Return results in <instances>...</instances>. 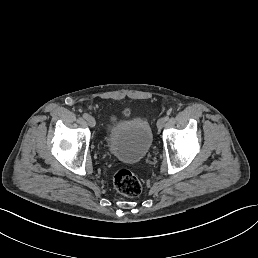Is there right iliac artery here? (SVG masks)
<instances>
[{
    "instance_id": "82829eb1",
    "label": "right iliac artery",
    "mask_w": 258,
    "mask_h": 258,
    "mask_svg": "<svg viewBox=\"0 0 258 258\" xmlns=\"http://www.w3.org/2000/svg\"><path fill=\"white\" fill-rule=\"evenodd\" d=\"M83 118L87 119V118H88V114H87V113H84V114H83Z\"/></svg>"
}]
</instances>
